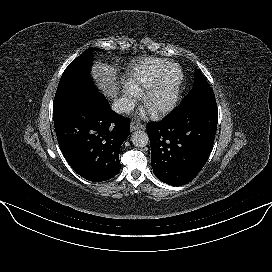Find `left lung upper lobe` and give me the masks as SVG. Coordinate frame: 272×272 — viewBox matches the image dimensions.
Listing matches in <instances>:
<instances>
[{
    "label": "left lung upper lobe",
    "mask_w": 272,
    "mask_h": 272,
    "mask_svg": "<svg viewBox=\"0 0 272 272\" xmlns=\"http://www.w3.org/2000/svg\"><path fill=\"white\" fill-rule=\"evenodd\" d=\"M207 100H215L214 93L202 73L196 68L193 88L180 105H190Z\"/></svg>",
    "instance_id": "1"
}]
</instances>
